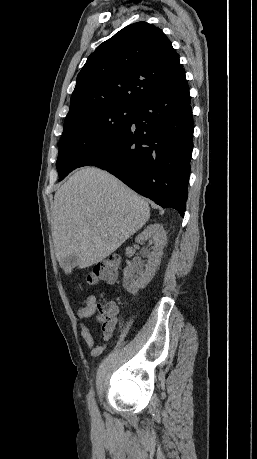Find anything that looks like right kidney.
Returning <instances> with one entry per match:
<instances>
[{
  "mask_svg": "<svg viewBox=\"0 0 257 459\" xmlns=\"http://www.w3.org/2000/svg\"><path fill=\"white\" fill-rule=\"evenodd\" d=\"M146 240H149L154 245L148 255L145 270L141 265H136L132 268L126 267L123 271V287L131 294H136L139 289L145 288L160 265L163 248L167 242V234L163 225L159 223L150 224L136 237L137 243H143ZM134 253L133 247L126 248L127 257H132Z\"/></svg>",
  "mask_w": 257,
  "mask_h": 459,
  "instance_id": "1",
  "label": "right kidney"
}]
</instances>
